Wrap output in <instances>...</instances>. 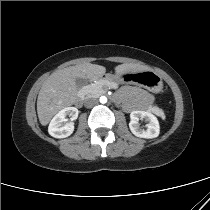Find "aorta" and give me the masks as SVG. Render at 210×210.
Instances as JSON below:
<instances>
[{
    "instance_id": "obj_1",
    "label": "aorta",
    "mask_w": 210,
    "mask_h": 210,
    "mask_svg": "<svg viewBox=\"0 0 210 210\" xmlns=\"http://www.w3.org/2000/svg\"><path fill=\"white\" fill-rule=\"evenodd\" d=\"M102 98H105V97H101V98H100L101 103H105V102L107 101V98H105V99H106L105 102L102 101Z\"/></svg>"
}]
</instances>
